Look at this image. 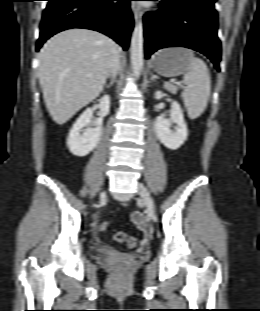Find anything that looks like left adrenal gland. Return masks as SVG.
<instances>
[{"label":"left adrenal gland","mask_w":260,"mask_h":311,"mask_svg":"<svg viewBox=\"0 0 260 311\" xmlns=\"http://www.w3.org/2000/svg\"><path fill=\"white\" fill-rule=\"evenodd\" d=\"M150 80H151V81H155V78H154V76L152 75V73H151Z\"/></svg>","instance_id":"left-adrenal-gland-1"}]
</instances>
